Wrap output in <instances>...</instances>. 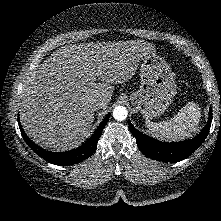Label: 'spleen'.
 <instances>
[{
  "mask_svg": "<svg viewBox=\"0 0 221 221\" xmlns=\"http://www.w3.org/2000/svg\"><path fill=\"white\" fill-rule=\"evenodd\" d=\"M200 118L199 106L194 102H188L169 121L155 123L146 119L145 123L155 137L165 141H176L192 137L198 128Z\"/></svg>",
  "mask_w": 221,
  "mask_h": 221,
  "instance_id": "3e777b00",
  "label": "spleen"
}]
</instances>
